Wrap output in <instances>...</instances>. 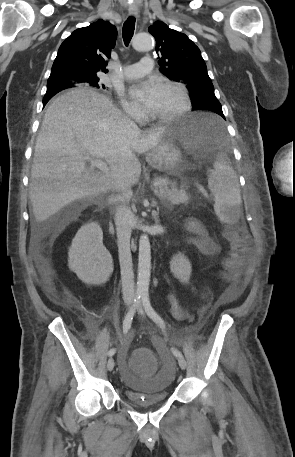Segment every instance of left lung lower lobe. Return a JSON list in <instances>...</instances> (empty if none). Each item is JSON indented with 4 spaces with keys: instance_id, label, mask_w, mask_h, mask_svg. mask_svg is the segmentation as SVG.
Instances as JSON below:
<instances>
[{
    "instance_id": "obj_1",
    "label": "left lung lower lobe",
    "mask_w": 295,
    "mask_h": 457,
    "mask_svg": "<svg viewBox=\"0 0 295 457\" xmlns=\"http://www.w3.org/2000/svg\"><path fill=\"white\" fill-rule=\"evenodd\" d=\"M200 109L215 112L225 119L221 105L205 104ZM206 130L210 135H213V133H215V128L211 123H206Z\"/></svg>"
}]
</instances>
